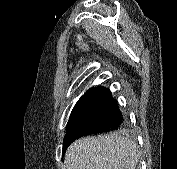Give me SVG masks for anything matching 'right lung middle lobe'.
Listing matches in <instances>:
<instances>
[{"label": "right lung middle lobe", "instance_id": "right-lung-middle-lobe-1", "mask_svg": "<svg viewBox=\"0 0 177 169\" xmlns=\"http://www.w3.org/2000/svg\"><path fill=\"white\" fill-rule=\"evenodd\" d=\"M89 97L87 94H85L83 97L80 98V100L76 103L75 107L72 110L70 119L77 116L88 104Z\"/></svg>", "mask_w": 177, "mask_h": 169}]
</instances>
